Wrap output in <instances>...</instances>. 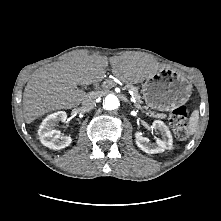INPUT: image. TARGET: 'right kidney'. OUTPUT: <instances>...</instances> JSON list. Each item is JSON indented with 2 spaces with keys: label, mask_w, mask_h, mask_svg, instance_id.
<instances>
[{
  "label": "right kidney",
  "mask_w": 221,
  "mask_h": 221,
  "mask_svg": "<svg viewBox=\"0 0 221 221\" xmlns=\"http://www.w3.org/2000/svg\"><path fill=\"white\" fill-rule=\"evenodd\" d=\"M67 119V114L64 111H58L48 115L41 123L38 133L46 142V146L54 150L63 149L69 146L72 142L70 136H61V132L54 129L56 122H64Z\"/></svg>",
  "instance_id": "obj_1"
}]
</instances>
